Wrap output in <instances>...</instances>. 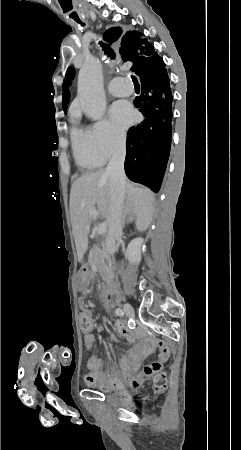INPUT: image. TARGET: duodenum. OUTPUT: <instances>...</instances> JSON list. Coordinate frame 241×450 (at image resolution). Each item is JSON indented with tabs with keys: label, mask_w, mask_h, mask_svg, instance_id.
Wrapping results in <instances>:
<instances>
[{
	"label": "duodenum",
	"mask_w": 241,
	"mask_h": 450,
	"mask_svg": "<svg viewBox=\"0 0 241 450\" xmlns=\"http://www.w3.org/2000/svg\"><path fill=\"white\" fill-rule=\"evenodd\" d=\"M108 266L110 268H112L113 264L111 261L108 262ZM87 276H88V269L83 268L80 272V278H81L82 282H85V280L87 279ZM103 294H104V298L108 302H115L118 298V291L116 288V284L113 281L108 282L104 288Z\"/></svg>",
	"instance_id": "duodenum-1"
}]
</instances>
